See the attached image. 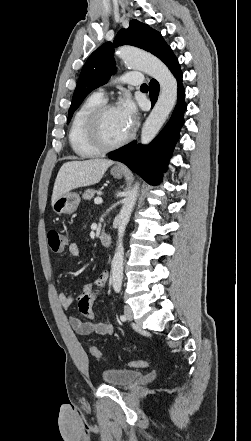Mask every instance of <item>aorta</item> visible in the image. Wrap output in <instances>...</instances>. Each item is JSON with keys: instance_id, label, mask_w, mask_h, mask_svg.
<instances>
[{"instance_id": "762f6f07", "label": "aorta", "mask_w": 251, "mask_h": 441, "mask_svg": "<svg viewBox=\"0 0 251 441\" xmlns=\"http://www.w3.org/2000/svg\"><path fill=\"white\" fill-rule=\"evenodd\" d=\"M116 54L128 67L147 73L156 79L160 85L158 100L141 131V143L148 144L157 135L176 104L177 81L167 66L157 57L149 53L130 47H122ZM138 190L139 185L135 184L125 197L118 215V240L112 260V285L115 290H120L122 285L124 260L123 236L137 201Z\"/></svg>"}]
</instances>
